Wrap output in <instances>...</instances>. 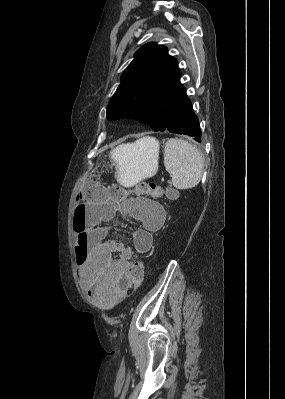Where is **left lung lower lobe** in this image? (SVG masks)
<instances>
[{
    "label": "left lung lower lobe",
    "instance_id": "1",
    "mask_svg": "<svg viewBox=\"0 0 285 399\" xmlns=\"http://www.w3.org/2000/svg\"><path fill=\"white\" fill-rule=\"evenodd\" d=\"M165 130L188 135L193 137L196 142H201L198 117L195 115L192 103L185 91L171 112Z\"/></svg>",
    "mask_w": 285,
    "mask_h": 399
}]
</instances>
